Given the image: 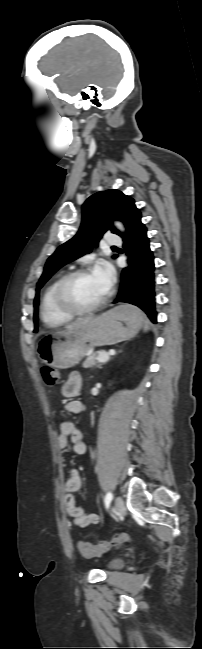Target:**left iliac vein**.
I'll return each mask as SVG.
<instances>
[{
  "mask_svg": "<svg viewBox=\"0 0 202 649\" xmlns=\"http://www.w3.org/2000/svg\"><path fill=\"white\" fill-rule=\"evenodd\" d=\"M115 510H116L117 513H119L120 515H123L124 512H125V504H124L123 499H122L120 496H117V497L115 498Z\"/></svg>",
  "mask_w": 202,
  "mask_h": 649,
  "instance_id": "1",
  "label": "left iliac vein"
}]
</instances>
